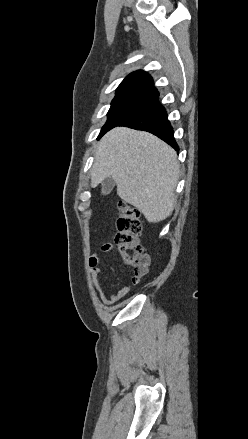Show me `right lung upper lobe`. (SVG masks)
<instances>
[{"label":"right lung upper lobe","mask_w":248,"mask_h":439,"mask_svg":"<svg viewBox=\"0 0 248 439\" xmlns=\"http://www.w3.org/2000/svg\"><path fill=\"white\" fill-rule=\"evenodd\" d=\"M116 93L117 95L130 94L147 96L152 99L159 96V92L153 85L152 77L142 70L129 74L121 82Z\"/></svg>","instance_id":"right-lung-upper-lobe-1"}]
</instances>
